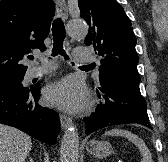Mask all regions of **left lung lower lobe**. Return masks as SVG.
I'll return each mask as SVG.
<instances>
[{"label":"left lung lower lobe","instance_id":"0a47b994","mask_svg":"<svg viewBox=\"0 0 168 162\" xmlns=\"http://www.w3.org/2000/svg\"><path fill=\"white\" fill-rule=\"evenodd\" d=\"M99 96L95 113L85 118L86 134L111 125L137 123L151 128L146 111V101L140 93L139 84L121 78H107L97 87Z\"/></svg>","mask_w":168,"mask_h":162}]
</instances>
